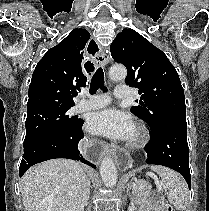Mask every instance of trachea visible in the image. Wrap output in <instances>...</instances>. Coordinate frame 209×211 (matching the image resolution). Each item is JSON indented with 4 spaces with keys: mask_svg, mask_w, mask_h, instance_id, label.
I'll list each match as a JSON object with an SVG mask.
<instances>
[{
    "mask_svg": "<svg viewBox=\"0 0 209 211\" xmlns=\"http://www.w3.org/2000/svg\"><path fill=\"white\" fill-rule=\"evenodd\" d=\"M105 89L104 86V72L102 68H98L96 73L94 74L91 84H90V89L89 92L90 94L96 93L97 89Z\"/></svg>",
    "mask_w": 209,
    "mask_h": 211,
    "instance_id": "3493384b",
    "label": "trachea"
}]
</instances>
